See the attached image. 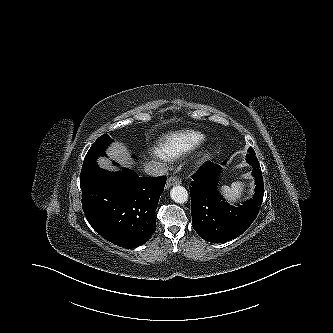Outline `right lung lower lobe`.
Here are the masks:
<instances>
[{
    "instance_id": "1",
    "label": "right lung lower lobe",
    "mask_w": 333,
    "mask_h": 333,
    "mask_svg": "<svg viewBox=\"0 0 333 333\" xmlns=\"http://www.w3.org/2000/svg\"><path fill=\"white\" fill-rule=\"evenodd\" d=\"M165 182V176L143 178L129 169L114 173L96 167L80 177L83 211L106 240L138 247L156 230L155 211Z\"/></svg>"
}]
</instances>
